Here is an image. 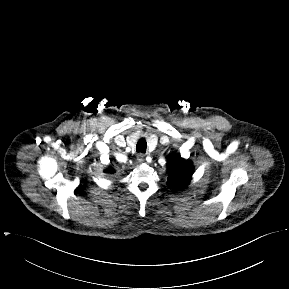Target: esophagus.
Returning a JSON list of instances; mask_svg holds the SVG:
<instances>
[{
  "instance_id": "34e87169",
  "label": "esophagus",
  "mask_w": 289,
  "mask_h": 289,
  "mask_svg": "<svg viewBox=\"0 0 289 289\" xmlns=\"http://www.w3.org/2000/svg\"><path fill=\"white\" fill-rule=\"evenodd\" d=\"M137 160H138L140 163L144 162V161H145V155H144L143 153H139V154L137 155Z\"/></svg>"
}]
</instances>
